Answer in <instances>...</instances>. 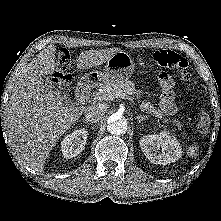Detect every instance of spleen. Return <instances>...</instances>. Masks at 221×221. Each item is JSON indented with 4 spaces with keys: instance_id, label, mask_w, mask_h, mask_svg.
<instances>
[{
    "instance_id": "spleen-1",
    "label": "spleen",
    "mask_w": 221,
    "mask_h": 221,
    "mask_svg": "<svg viewBox=\"0 0 221 221\" xmlns=\"http://www.w3.org/2000/svg\"><path fill=\"white\" fill-rule=\"evenodd\" d=\"M198 146L197 145H193V146H190L188 151H187V154L190 155L191 157H196L198 155Z\"/></svg>"
}]
</instances>
